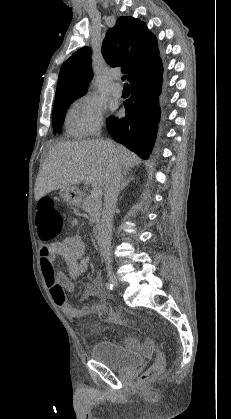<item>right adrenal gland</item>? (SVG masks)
<instances>
[{
  "label": "right adrenal gland",
  "mask_w": 231,
  "mask_h": 419,
  "mask_svg": "<svg viewBox=\"0 0 231 419\" xmlns=\"http://www.w3.org/2000/svg\"><path fill=\"white\" fill-rule=\"evenodd\" d=\"M128 171H124L122 178H121V184H120V191H122L130 181H133L135 178L133 175H130L129 178H127Z\"/></svg>",
  "instance_id": "right-adrenal-gland-1"
}]
</instances>
